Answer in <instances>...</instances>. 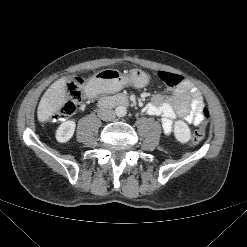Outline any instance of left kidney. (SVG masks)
I'll list each match as a JSON object with an SVG mask.
<instances>
[{
    "instance_id": "left-kidney-1",
    "label": "left kidney",
    "mask_w": 247,
    "mask_h": 247,
    "mask_svg": "<svg viewBox=\"0 0 247 247\" xmlns=\"http://www.w3.org/2000/svg\"><path fill=\"white\" fill-rule=\"evenodd\" d=\"M174 136L180 143H187L191 139V130L184 121L177 120L174 123Z\"/></svg>"
}]
</instances>
